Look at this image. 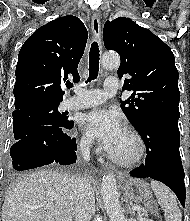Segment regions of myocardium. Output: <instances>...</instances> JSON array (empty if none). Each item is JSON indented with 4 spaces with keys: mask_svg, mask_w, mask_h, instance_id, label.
<instances>
[{
    "mask_svg": "<svg viewBox=\"0 0 190 221\" xmlns=\"http://www.w3.org/2000/svg\"><path fill=\"white\" fill-rule=\"evenodd\" d=\"M124 130L129 133L136 141L137 143V153L136 155L131 159H121L112 153H110L108 150L106 152L107 157L114 162L115 164L122 166V167H134L138 165L144 158L145 152H146V144L141 136V134L133 127L126 126Z\"/></svg>",
    "mask_w": 190,
    "mask_h": 221,
    "instance_id": "obj_1",
    "label": "myocardium"
}]
</instances>
